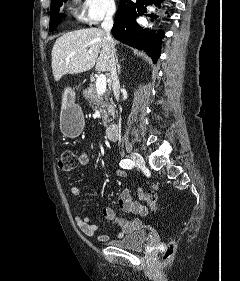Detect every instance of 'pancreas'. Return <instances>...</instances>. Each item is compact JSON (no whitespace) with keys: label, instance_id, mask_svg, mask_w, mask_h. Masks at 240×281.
<instances>
[{"label":"pancreas","instance_id":"obj_1","mask_svg":"<svg viewBox=\"0 0 240 281\" xmlns=\"http://www.w3.org/2000/svg\"><path fill=\"white\" fill-rule=\"evenodd\" d=\"M83 95L89 101L91 107L96 105L100 108L103 124L108 126L111 121L109 115H114L115 112V105L109 96L110 92L106 91L104 94L99 95L97 94L96 86L91 84L83 91Z\"/></svg>","mask_w":240,"mask_h":281}]
</instances>
